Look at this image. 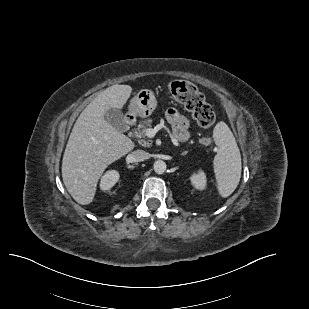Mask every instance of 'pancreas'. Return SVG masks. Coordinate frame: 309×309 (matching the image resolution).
<instances>
[{"label":"pancreas","instance_id":"obj_1","mask_svg":"<svg viewBox=\"0 0 309 309\" xmlns=\"http://www.w3.org/2000/svg\"><path fill=\"white\" fill-rule=\"evenodd\" d=\"M152 119H146L143 122H141L134 130V136L139 139L140 143L144 147H150L151 143L146 140V131L151 127Z\"/></svg>","mask_w":309,"mask_h":309}]
</instances>
